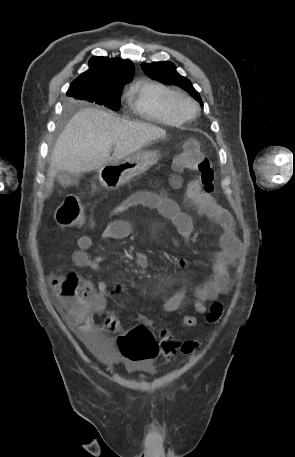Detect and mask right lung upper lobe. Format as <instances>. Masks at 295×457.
<instances>
[{"label":"right lung upper lobe","mask_w":295,"mask_h":457,"mask_svg":"<svg viewBox=\"0 0 295 457\" xmlns=\"http://www.w3.org/2000/svg\"><path fill=\"white\" fill-rule=\"evenodd\" d=\"M133 74L134 65L129 60L94 56L89 60V70L73 81L68 92L76 86L95 90L122 88Z\"/></svg>","instance_id":"1"}]
</instances>
